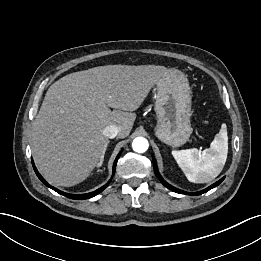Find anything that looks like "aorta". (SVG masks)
I'll return each instance as SVG.
<instances>
[{
    "mask_svg": "<svg viewBox=\"0 0 261 261\" xmlns=\"http://www.w3.org/2000/svg\"><path fill=\"white\" fill-rule=\"evenodd\" d=\"M132 147L135 152L144 153L149 147L148 140L144 137H137L132 142Z\"/></svg>",
    "mask_w": 261,
    "mask_h": 261,
    "instance_id": "762f6f07",
    "label": "aorta"
}]
</instances>
